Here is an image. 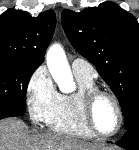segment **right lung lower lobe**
I'll use <instances>...</instances> for the list:
<instances>
[{"label":"right lung lower lobe","instance_id":"obj_1","mask_svg":"<svg viewBox=\"0 0 139 150\" xmlns=\"http://www.w3.org/2000/svg\"><path fill=\"white\" fill-rule=\"evenodd\" d=\"M13 116H18V115L14 114L12 112H5V113L0 114V119L6 118V117H13Z\"/></svg>","mask_w":139,"mask_h":150}]
</instances>
